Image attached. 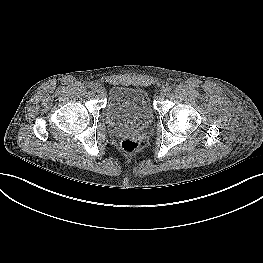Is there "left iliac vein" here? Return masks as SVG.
<instances>
[{
	"mask_svg": "<svg viewBox=\"0 0 263 263\" xmlns=\"http://www.w3.org/2000/svg\"><path fill=\"white\" fill-rule=\"evenodd\" d=\"M167 92L168 91L166 89H163V90H161L160 95L165 96L167 94Z\"/></svg>",
	"mask_w": 263,
	"mask_h": 263,
	"instance_id": "obj_1",
	"label": "left iliac vein"
}]
</instances>
